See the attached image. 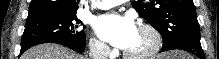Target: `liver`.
I'll use <instances>...</instances> for the list:
<instances>
[{"label": "liver", "instance_id": "liver-1", "mask_svg": "<svg viewBox=\"0 0 219 59\" xmlns=\"http://www.w3.org/2000/svg\"><path fill=\"white\" fill-rule=\"evenodd\" d=\"M21 59H86L57 44H41L27 50Z\"/></svg>", "mask_w": 219, "mask_h": 59}]
</instances>
